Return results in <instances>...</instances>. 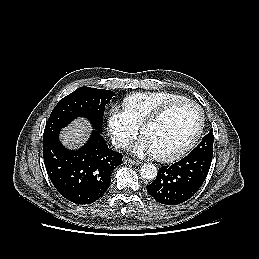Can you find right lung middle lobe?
I'll return each instance as SVG.
<instances>
[{
  "label": "right lung middle lobe",
  "mask_w": 259,
  "mask_h": 259,
  "mask_svg": "<svg viewBox=\"0 0 259 259\" xmlns=\"http://www.w3.org/2000/svg\"><path fill=\"white\" fill-rule=\"evenodd\" d=\"M114 95V92L110 90L80 87L65 96L51 112L44 129L43 139L59 133L76 117L88 119L96 131L102 132L105 105Z\"/></svg>",
  "instance_id": "dd1d6c3e"
}]
</instances>
